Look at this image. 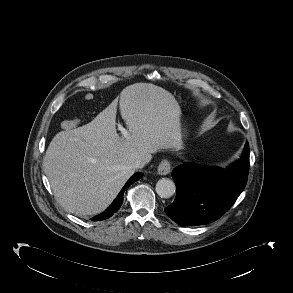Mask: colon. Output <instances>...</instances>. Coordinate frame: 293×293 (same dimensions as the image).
I'll return each instance as SVG.
<instances>
[{
  "mask_svg": "<svg viewBox=\"0 0 293 293\" xmlns=\"http://www.w3.org/2000/svg\"><path fill=\"white\" fill-rule=\"evenodd\" d=\"M85 99L87 101H92L94 99V95L89 92L85 95ZM78 124H79V121L77 119L65 120L62 122V128L68 130V129L75 128Z\"/></svg>",
  "mask_w": 293,
  "mask_h": 293,
  "instance_id": "5ec220e1",
  "label": "colon"
}]
</instances>
